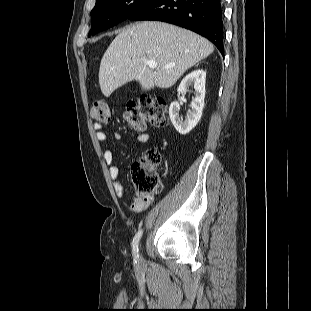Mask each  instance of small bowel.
<instances>
[{"label": "small bowel", "instance_id": "c3829d8e", "mask_svg": "<svg viewBox=\"0 0 311 311\" xmlns=\"http://www.w3.org/2000/svg\"><path fill=\"white\" fill-rule=\"evenodd\" d=\"M95 137L99 142L106 141V134L102 130V126L99 123L93 124ZM114 139L119 142L122 140V135L119 132L114 133ZM137 141L141 144H145L149 140V136L146 133L138 134ZM103 159L108 167L110 179L113 182L115 193L118 197L125 195V188L119 179V167L114 163L113 153L109 148L103 149ZM153 202V196H135L129 205V209L135 213H141L146 210Z\"/></svg>", "mask_w": 311, "mask_h": 311}]
</instances>
